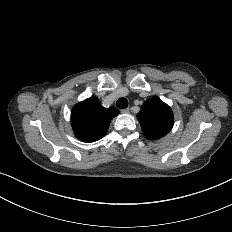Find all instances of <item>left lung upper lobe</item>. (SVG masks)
I'll use <instances>...</instances> for the list:
<instances>
[{
    "label": "left lung upper lobe",
    "instance_id": "left-lung-upper-lobe-1",
    "mask_svg": "<svg viewBox=\"0 0 232 232\" xmlns=\"http://www.w3.org/2000/svg\"><path fill=\"white\" fill-rule=\"evenodd\" d=\"M144 135L155 140L162 138L173 127V113L170 107L159 97L147 100L137 114Z\"/></svg>",
    "mask_w": 232,
    "mask_h": 232
}]
</instances>
